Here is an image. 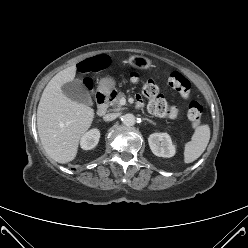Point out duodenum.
Wrapping results in <instances>:
<instances>
[{"label": "duodenum", "mask_w": 248, "mask_h": 248, "mask_svg": "<svg viewBox=\"0 0 248 248\" xmlns=\"http://www.w3.org/2000/svg\"><path fill=\"white\" fill-rule=\"evenodd\" d=\"M112 93L110 92H98L95 95V99L98 103L97 115L102 116L108 107L109 102L111 101Z\"/></svg>", "instance_id": "1"}]
</instances>
